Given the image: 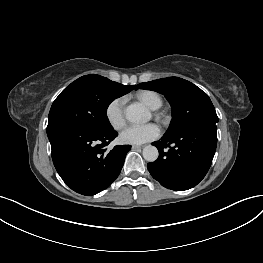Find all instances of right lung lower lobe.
Listing matches in <instances>:
<instances>
[{
	"label": "right lung lower lobe",
	"mask_w": 263,
	"mask_h": 263,
	"mask_svg": "<svg viewBox=\"0 0 263 263\" xmlns=\"http://www.w3.org/2000/svg\"><path fill=\"white\" fill-rule=\"evenodd\" d=\"M52 160L62 180L77 193L91 196L111 185L123 167L130 145L106 146L117 137L112 129L62 126L47 132Z\"/></svg>",
	"instance_id": "98d812e1"
}]
</instances>
